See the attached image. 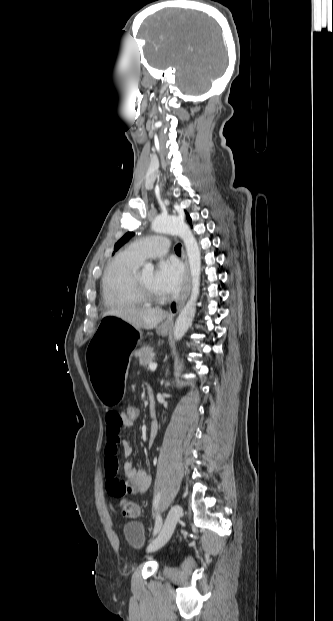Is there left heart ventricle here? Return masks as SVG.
Wrapping results in <instances>:
<instances>
[{"label":"left heart ventricle","instance_id":"b2bd125f","mask_svg":"<svg viewBox=\"0 0 333 621\" xmlns=\"http://www.w3.org/2000/svg\"><path fill=\"white\" fill-rule=\"evenodd\" d=\"M139 279L141 283L147 288L150 292L155 295L163 296L164 293L156 286L154 282V272L152 270H144L139 272Z\"/></svg>","mask_w":333,"mask_h":621}]
</instances>
